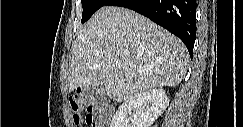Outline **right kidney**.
Masks as SVG:
<instances>
[{"label":"right kidney","instance_id":"obj_1","mask_svg":"<svg viewBox=\"0 0 243 127\" xmlns=\"http://www.w3.org/2000/svg\"><path fill=\"white\" fill-rule=\"evenodd\" d=\"M169 105L163 89H150L127 99L115 112L110 127H150Z\"/></svg>","mask_w":243,"mask_h":127}]
</instances>
